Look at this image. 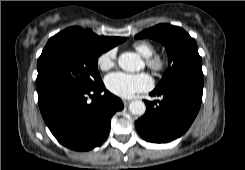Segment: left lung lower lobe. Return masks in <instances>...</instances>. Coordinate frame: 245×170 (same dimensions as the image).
I'll return each mask as SVG.
<instances>
[{"label": "left lung lower lobe", "mask_w": 245, "mask_h": 170, "mask_svg": "<svg viewBox=\"0 0 245 170\" xmlns=\"http://www.w3.org/2000/svg\"><path fill=\"white\" fill-rule=\"evenodd\" d=\"M203 86L192 83H176L160 90H153L151 96L162 100L146 102L144 116L135 122L140 136L153 143L170 142L182 136L194 121L201 102Z\"/></svg>", "instance_id": "obj_1"}]
</instances>
